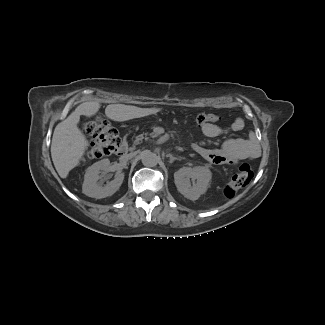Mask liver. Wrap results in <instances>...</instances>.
Instances as JSON below:
<instances>
[{
    "label": "liver",
    "mask_w": 325,
    "mask_h": 325,
    "mask_svg": "<svg viewBox=\"0 0 325 325\" xmlns=\"http://www.w3.org/2000/svg\"><path fill=\"white\" fill-rule=\"evenodd\" d=\"M100 107L101 104L98 101L84 102L56 126L51 143V157L61 178H66L79 163L88 146L85 135L78 128L80 116L92 117L99 111ZM159 111L161 108L110 104L106 107L105 114L109 119L121 122L156 114Z\"/></svg>",
    "instance_id": "1"
}]
</instances>
